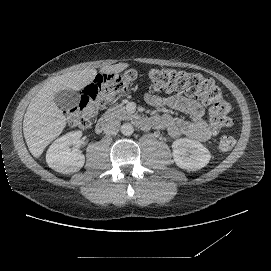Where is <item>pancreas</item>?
Listing matches in <instances>:
<instances>
[{
    "mask_svg": "<svg viewBox=\"0 0 271 271\" xmlns=\"http://www.w3.org/2000/svg\"><path fill=\"white\" fill-rule=\"evenodd\" d=\"M106 115H110L120 120H127L131 118V115L125 110V107L122 105H116L112 108H109L106 111Z\"/></svg>",
    "mask_w": 271,
    "mask_h": 271,
    "instance_id": "1",
    "label": "pancreas"
}]
</instances>
